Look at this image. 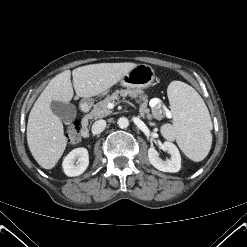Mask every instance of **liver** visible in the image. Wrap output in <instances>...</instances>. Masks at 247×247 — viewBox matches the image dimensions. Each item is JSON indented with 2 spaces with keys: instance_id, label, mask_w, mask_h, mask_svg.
Wrapping results in <instances>:
<instances>
[{
  "instance_id": "liver-1",
  "label": "liver",
  "mask_w": 247,
  "mask_h": 247,
  "mask_svg": "<svg viewBox=\"0 0 247 247\" xmlns=\"http://www.w3.org/2000/svg\"><path fill=\"white\" fill-rule=\"evenodd\" d=\"M137 64L99 63L66 70L54 77L32 107L27 124V143L37 163L52 169L61 158L67 140L61 120L51 110L52 101L68 103L75 99L89 98L111 88ZM73 76V87L71 83Z\"/></svg>"
}]
</instances>
